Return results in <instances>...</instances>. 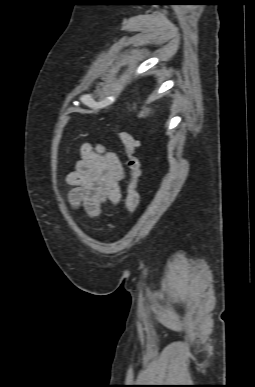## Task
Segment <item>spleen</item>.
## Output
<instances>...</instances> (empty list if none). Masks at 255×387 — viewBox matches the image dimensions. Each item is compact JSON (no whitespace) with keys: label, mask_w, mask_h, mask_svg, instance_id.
Here are the masks:
<instances>
[{"label":"spleen","mask_w":255,"mask_h":387,"mask_svg":"<svg viewBox=\"0 0 255 387\" xmlns=\"http://www.w3.org/2000/svg\"><path fill=\"white\" fill-rule=\"evenodd\" d=\"M149 113V109H145L144 111H141L139 114V117H144L145 114Z\"/></svg>","instance_id":"1"}]
</instances>
